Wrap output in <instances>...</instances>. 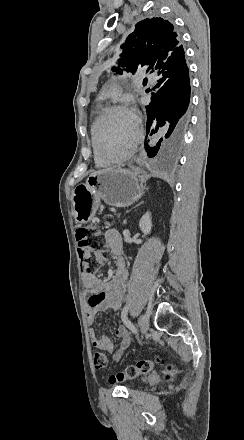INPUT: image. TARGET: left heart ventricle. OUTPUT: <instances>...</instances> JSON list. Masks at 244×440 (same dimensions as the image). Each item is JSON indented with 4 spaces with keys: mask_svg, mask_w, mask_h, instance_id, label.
<instances>
[{
    "mask_svg": "<svg viewBox=\"0 0 244 440\" xmlns=\"http://www.w3.org/2000/svg\"><path fill=\"white\" fill-rule=\"evenodd\" d=\"M102 136L101 148L110 151L113 146L126 145L127 141L133 138L135 130L126 111H113L109 117V124H105Z\"/></svg>",
    "mask_w": 244,
    "mask_h": 440,
    "instance_id": "obj_1",
    "label": "left heart ventricle"
}]
</instances>
